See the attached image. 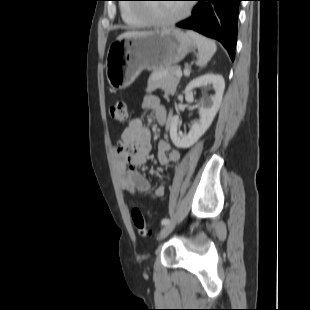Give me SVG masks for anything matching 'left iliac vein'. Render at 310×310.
Returning a JSON list of instances; mask_svg holds the SVG:
<instances>
[{"instance_id":"1","label":"left iliac vein","mask_w":310,"mask_h":310,"mask_svg":"<svg viewBox=\"0 0 310 310\" xmlns=\"http://www.w3.org/2000/svg\"><path fill=\"white\" fill-rule=\"evenodd\" d=\"M174 226H175L174 223H169L165 225L159 233L158 240L160 241L163 240L165 237H167L174 229Z\"/></svg>"}]
</instances>
